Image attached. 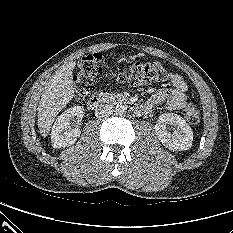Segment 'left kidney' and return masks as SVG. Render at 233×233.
Instances as JSON below:
<instances>
[{
  "mask_svg": "<svg viewBox=\"0 0 233 233\" xmlns=\"http://www.w3.org/2000/svg\"><path fill=\"white\" fill-rule=\"evenodd\" d=\"M167 124L174 125L176 129L169 132L166 127ZM155 131L161 143L170 150L185 151L192 146V129L180 115L174 113L162 114L155 125Z\"/></svg>",
  "mask_w": 233,
  "mask_h": 233,
  "instance_id": "left-kidney-1",
  "label": "left kidney"
}]
</instances>
